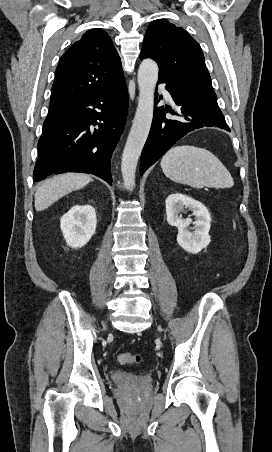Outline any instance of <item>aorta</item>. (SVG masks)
<instances>
[{
	"mask_svg": "<svg viewBox=\"0 0 272 452\" xmlns=\"http://www.w3.org/2000/svg\"><path fill=\"white\" fill-rule=\"evenodd\" d=\"M158 71V65L152 59H144L138 69V106L121 163L124 186L129 191L135 187L137 163L151 128Z\"/></svg>",
	"mask_w": 272,
	"mask_h": 452,
	"instance_id": "aorta-1",
	"label": "aorta"
}]
</instances>
